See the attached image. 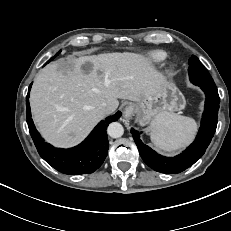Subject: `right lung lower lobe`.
<instances>
[{
    "label": "right lung lower lobe",
    "mask_w": 231,
    "mask_h": 231,
    "mask_svg": "<svg viewBox=\"0 0 231 231\" xmlns=\"http://www.w3.org/2000/svg\"><path fill=\"white\" fill-rule=\"evenodd\" d=\"M30 88L31 85L26 97V117L30 135L40 156L64 174L79 175L96 171L103 164L109 149L106 129L111 122L118 120L122 113L117 112L101 121L78 146L70 149L55 148L42 139L33 124L28 99Z\"/></svg>",
    "instance_id": "obj_1"
}]
</instances>
